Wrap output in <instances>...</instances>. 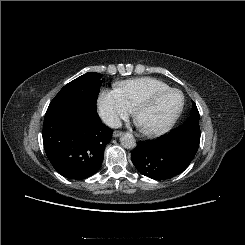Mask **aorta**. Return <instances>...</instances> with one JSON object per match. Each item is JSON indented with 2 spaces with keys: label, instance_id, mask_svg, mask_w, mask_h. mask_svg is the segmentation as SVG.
Returning <instances> with one entry per match:
<instances>
[{
  "label": "aorta",
  "instance_id": "aorta-1",
  "mask_svg": "<svg viewBox=\"0 0 245 245\" xmlns=\"http://www.w3.org/2000/svg\"><path fill=\"white\" fill-rule=\"evenodd\" d=\"M120 143H121L122 147H124L126 149H132L136 146V140L131 133H124L120 137Z\"/></svg>",
  "mask_w": 245,
  "mask_h": 245
}]
</instances>
